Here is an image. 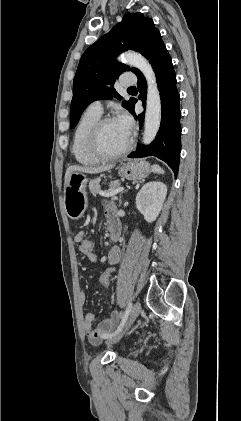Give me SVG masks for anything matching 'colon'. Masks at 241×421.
Masks as SVG:
<instances>
[{
	"mask_svg": "<svg viewBox=\"0 0 241 421\" xmlns=\"http://www.w3.org/2000/svg\"><path fill=\"white\" fill-rule=\"evenodd\" d=\"M80 251L82 253H89V252H94L95 249V243L94 241L90 240V239H85L81 244H80ZM114 268L113 267H109L106 268L100 275L99 281L101 283V285L103 286V288L105 289H110L112 282H113V277H114Z\"/></svg>",
	"mask_w": 241,
	"mask_h": 421,
	"instance_id": "obj_1",
	"label": "colon"
}]
</instances>
